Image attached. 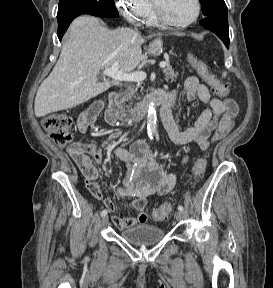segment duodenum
Wrapping results in <instances>:
<instances>
[{
  "instance_id": "1",
  "label": "duodenum",
  "mask_w": 273,
  "mask_h": 288,
  "mask_svg": "<svg viewBox=\"0 0 273 288\" xmlns=\"http://www.w3.org/2000/svg\"><path fill=\"white\" fill-rule=\"evenodd\" d=\"M173 101L164 91H154L137 106L125 110L122 107L117 92H111L108 96L107 116L114 121L132 123L141 120L149 111L152 105H161V120L165 123L171 118L170 108Z\"/></svg>"
}]
</instances>
